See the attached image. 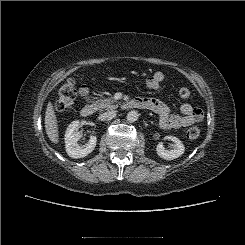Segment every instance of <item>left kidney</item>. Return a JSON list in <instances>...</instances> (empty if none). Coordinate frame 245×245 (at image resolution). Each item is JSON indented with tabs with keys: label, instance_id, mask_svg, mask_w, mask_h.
Masks as SVG:
<instances>
[{
	"label": "left kidney",
	"instance_id": "left-kidney-1",
	"mask_svg": "<svg viewBox=\"0 0 245 245\" xmlns=\"http://www.w3.org/2000/svg\"><path fill=\"white\" fill-rule=\"evenodd\" d=\"M165 138L173 142V144H171L172 149L167 150L164 148L162 143H159L156 147L157 154L161 158L166 160H173L180 157L185 151L183 143L177 137L174 136H167Z\"/></svg>",
	"mask_w": 245,
	"mask_h": 245
}]
</instances>
